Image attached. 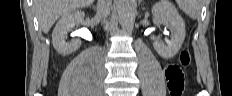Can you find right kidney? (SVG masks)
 <instances>
[{
	"instance_id": "obj_1",
	"label": "right kidney",
	"mask_w": 232,
	"mask_h": 96,
	"mask_svg": "<svg viewBox=\"0 0 232 96\" xmlns=\"http://www.w3.org/2000/svg\"><path fill=\"white\" fill-rule=\"evenodd\" d=\"M84 13L81 11H73L64 14L57 22L53 33V46L61 55H68L75 52L81 45V40L74 39L71 42L66 41V34L76 25L83 22Z\"/></svg>"
}]
</instances>
